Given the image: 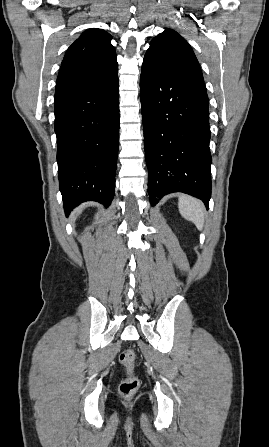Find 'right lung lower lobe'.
Instances as JSON below:
<instances>
[{"mask_svg":"<svg viewBox=\"0 0 269 447\" xmlns=\"http://www.w3.org/2000/svg\"><path fill=\"white\" fill-rule=\"evenodd\" d=\"M118 67L57 82L55 132L66 215L84 201L108 207L114 197L119 145Z\"/></svg>","mask_w":269,"mask_h":447,"instance_id":"1","label":"right lung lower lobe"}]
</instances>
